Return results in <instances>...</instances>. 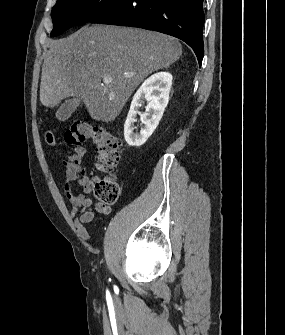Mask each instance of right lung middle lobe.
<instances>
[{
    "mask_svg": "<svg viewBox=\"0 0 285 335\" xmlns=\"http://www.w3.org/2000/svg\"><path fill=\"white\" fill-rule=\"evenodd\" d=\"M120 0H57L52 9L54 28L51 36H58L70 27L89 22Z\"/></svg>",
    "mask_w": 285,
    "mask_h": 335,
    "instance_id": "right-lung-middle-lobe-1",
    "label": "right lung middle lobe"
}]
</instances>
